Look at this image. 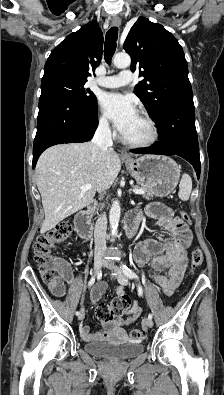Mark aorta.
<instances>
[{"label": "aorta", "mask_w": 224, "mask_h": 395, "mask_svg": "<svg viewBox=\"0 0 224 395\" xmlns=\"http://www.w3.org/2000/svg\"><path fill=\"white\" fill-rule=\"evenodd\" d=\"M113 63L117 68L123 69L130 66L131 58L128 54L119 53L116 54ZM120 219V203L119 201H114L112 203L110 213H109V222L112 237L117 236V228Z\"/></svg>", "instance_id": "aorta-1"}]
</instances>
